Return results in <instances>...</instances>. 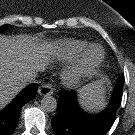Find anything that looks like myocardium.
Returning <instances> with one entry per match:
<instances>
[{
  "instance_id": "f54148a6",
  "label": "myocardium",
  "mask_w": 135,
  "mask_h": 135,
  "mask_svg": "<svg viewBox=\"0 0 135 135\" xmlns=\"http://www.w3.org/2000/svg\"><path fill=\"white\" fill-rule=\"evenodd\" d=\"M104 59V50L99 45H92L84 54L79 65L65 73L64 79L69 85L78 84L84 77L97 69Z\"/></svg>"
}]
</instances>
